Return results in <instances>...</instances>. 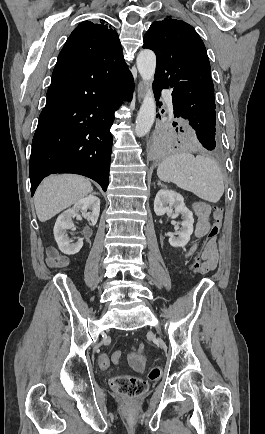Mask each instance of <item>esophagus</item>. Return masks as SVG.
<instances>
[{"mask_svg": "<svg viewBox=\"0 0 265 434\" xmlns=\"http://www.w3.org/2000/svg\"><path fill=\"white\" fill-rule=\"evenodd\" d=\"M137 94H138V101L140 102L145 94V86L142 82L138 83Z\"/></svg>", "mask_w": 265, "mask_h": 434, "instance_id": "esophagus-1", "label": "esophagus"}]
</instances>
